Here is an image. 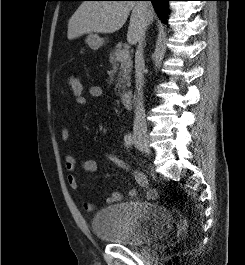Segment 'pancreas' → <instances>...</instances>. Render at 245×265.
Wrapping results in <instances>:
<instances>
[{
    "mask_svg": "<svg viewBox=\"0 0 245 265\" xmlns=\"http://www.w3.org/2000/svg\"><path fill=\"white\" fill-rule=\"evenodd\" d=\"M122 48H115L113 51L110 52L109 55V62L112 66L119 67L118 70V77H117V84L115 86V90L117 94H121V90H125L126 86H130V73L132 70V60L131 57L128 56L127 58L119 59V54L123 51Z\"/></svg>",
    "mask_w": 245,
    "mask_h": 265,
    "instance_id": "pancreas-1",
    "label": "pancreas"
}]
</instances>
